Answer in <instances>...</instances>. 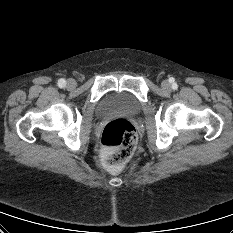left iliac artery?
<instances>
[{"mask_svg":"<svg viewBox=\"0 0 233 233\" xmlns=\"http://www.w3.org/2000/svg\"><path fill=\"white\" fill-rule=\"evenodd\" d=\"M172 88H173V89H177V84H176V83H173V84H172Z\"/></svg>","mask_w":233,"mask_h":233,"instance_id":"44dca946","label":"left iliac artery"}]
</instances>
